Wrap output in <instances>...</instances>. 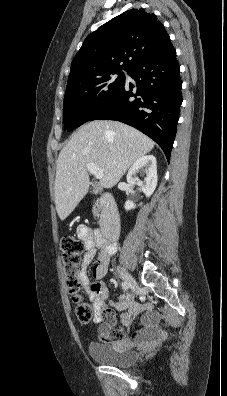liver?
I'll use <instances>...</instances> for the list:
<instances>
[{
    "label": "liver",
    "mask_w": 227,
    "mask_h": 396,
    "mask_svg": "<svg viewBox=\"0 0 227 396\" xmlns=\"http://www.w3.org/2000/svg\"><path fill=\"white\" fill-rule=\"evenodd\" d=\"M154 144L140 131L118 121L96 120L82 125L57 160L55 205L59 218L65 220L87 194V164L103 170L102 188H112Z\"/></svg>",
    "instance_id": "obj_1"
}]
</instances>
